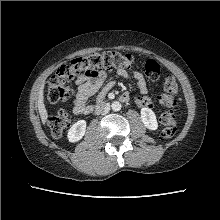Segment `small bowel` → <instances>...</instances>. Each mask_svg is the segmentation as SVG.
<instances>
[{"mask_svg": "<svg viewBox=\"0 0 220 220\" xmlns=\"http://www.w3.org/2000/svg\"><path fill=\"white\" fill-rule=\"evenodd\" d=\"M117 74L120 77L126 78L128 76L124 69H118ZM107 78V73L104 70H97L93 74H80L77 76L75 83L77 85V93L74 99L73 111L77 115H87L93 111V106L88 103V99L95 95L102 87ZM134 78L137 81L139 95L136 96V103L138 106H150L152 101L147 94V84L140 72L134 73ZM114 87V82L109 81L104 85L102 91L98 94L97 103L102 101L105 94Z\"/></svg>", "mask_w": 220, "mask_h": 220, "instance_id": "small-bowel-1", "label": "small bowel"}]
</instances>
